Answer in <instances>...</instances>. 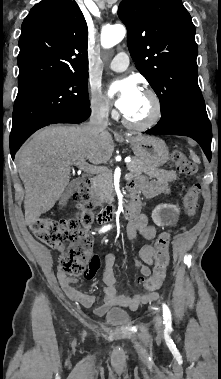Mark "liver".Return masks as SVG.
<instances>
[{
    "instance_id": "liver-1",
    "label": "liver",
    "mask_w": 221,
    "mask_h": 379,
    "mask_svg": "<svg viewBox=\"0 0 221 379\" xmlns=\"http://www.w3.org/2000/svg\"><path fill=\"white\" fill-rule=\"evenodd\" d=\"M113 153L109 132L90 133L85 126H50L37 131L16 154L25 187L28 225L49 211L69 184L71 166L78 162L102 164Z\"/></svg>"
}]
</instances>
